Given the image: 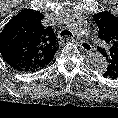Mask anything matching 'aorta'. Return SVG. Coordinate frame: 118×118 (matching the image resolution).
Returning <instances> with one entry per match:
<instances>
[{
	"label": "aorta",
	"mask_w": 118,
	"mask_h": 118,
	"mask_svg": "<svg viewBox=\"0 0 118 118\" xmlns=\"http://www.w3.org/2000/svg\"><path fill=\"white\" fill-rule=\"evenodd\" d=\"M65 23L74 33L84 35L88 31L86 20L76 11H69L65 15ZM88 67L97 73H103L107 69L105 57L99 53H92L87 58Z\"/></svg>",
	"instance_id": "obj_1"
}]
</instances>
